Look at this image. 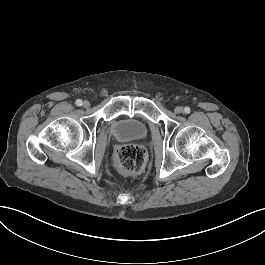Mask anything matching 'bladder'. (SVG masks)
Returning <instances> with one entry per match:
<instances>
[{"label":"bladder","mask_w":265,"mask_h":265,"mask_svg":"<svg viewBox=\"0 0 265 265\" xmlns=\"http://www.w3.org/2000/svg\"><path fill=\"white\" fill-rule=\"evenodd\" d=\"M146 123L135 117L116 120L112 125V134L121 141H139L147 136Z\"/></svg>","instance_id":"1"}]
</instances>
